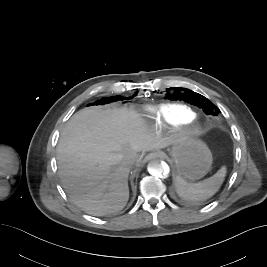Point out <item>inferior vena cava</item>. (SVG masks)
<instances>
[{
  "label": "inferior vena cava",
  "mask_w": 267,
  "mask_h": 267,
  "mask_svg": "<svg viewBox=\"0 0 267 267\" xmlns=\"http://www.w3.org/2000/svg\"><path fill=\"white\" fill-rule=\"evenodd\" d=\"M124 163L130 168L136 163V158L132 155H127L124 159Z\"/></svg>",
  "instance_id": "obj_1"
}]
</instances>
